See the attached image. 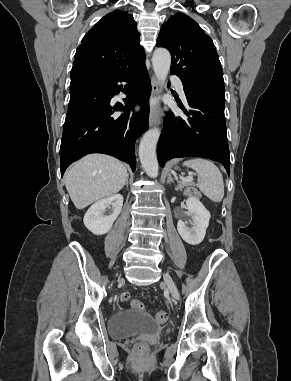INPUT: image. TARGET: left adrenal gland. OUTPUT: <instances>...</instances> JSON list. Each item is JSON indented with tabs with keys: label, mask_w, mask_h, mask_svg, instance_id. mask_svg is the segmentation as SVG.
Wrapping results in <instances>:
<instances>
[{
	"label": "left adrenal gland",
	"mask_w": 291,
	"mask_h": 381,
	"mask_svg": "<svg viewBox=\"0 0 291 381\" xmlns=\"http://www.w3.org/2000/svg\"><path fill=\"white\" fill-rule=\"evenodd\" d=\"M171 181L173 182V178H172V175H171V173H169V174H168L167 183H170ZM176 189H181V186H180V185H178V186L176 187Z\"/></svg>",
	"instance_id": "1"
}]
</instances>
